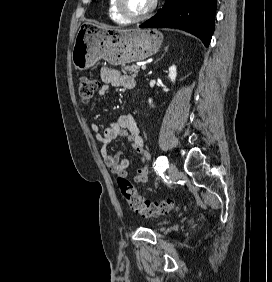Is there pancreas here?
I'll return each mask as SVG.
<instances>
[{
  "label": "pancreas",
  "mask_w": 272,
  "mask_h": 282,
  "mask_svg": "<svg viewBox=\"0 0 272 282\" xmlns=\"http://www.w3.org/2000/svg\"><path fill=\"white\" fill-rule=\"evenodd\" d=\"M121 71L127 75H131L132 77H136L139 73V67L137 65H122Z\"/></svg>",
  "instance_id": "obj_1"
}]
</instances>
